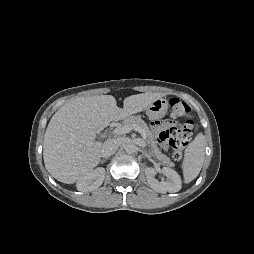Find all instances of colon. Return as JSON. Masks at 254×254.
<instances>
[{
	"label": "colon",
	"mask_w": 254,
	"mask_h": 254,
	"mask_svg": "<svg viewBox=\"0 0 254 254\" xmlns=\"http://www.w3.org/2000/svg\"><path fill=\"white\" fill-rule=\"evenodd\" d=\"M173 119L169 120V125L161 130L158 137L162 143L169 145L173 151V157L180 160L185 147L191 141L193 134L197 130V124L190 117V107L180 99L171 97L169 99ZM188 117L184 122L175 120L176 117Z\"/></svg>",
	"instance_id": "obj_1"
}]
</instances>
